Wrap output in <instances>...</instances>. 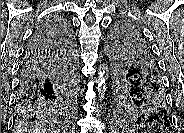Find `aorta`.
Segmentation results:
<instances>
[{"mask_svg": "<svg viewBox=\"0 0 184 133\" xmlns=\"http://www.w3.org/2000/svg\"><path fill=\"white\" fill-rule=\"evenodd\" d=\"M108 79H109V67L107 64L102 63L98 67L97 79H96L99 100H102L105 96Z\"/></svg>", "mask_w": 184, "mask_h": 133, "instance_id": "aorta-1", "label": "aorta"}]
</instances>
